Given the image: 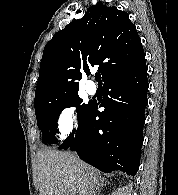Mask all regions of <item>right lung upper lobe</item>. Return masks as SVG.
<instances>
[{"instance_id":"1","label":"right lung upper lobe","mask_w":178,"mask_h":195,"mask_svg":"<svg viewBox=\"0 0 178 195\" xmlns=\"http://www.w3.org/2000/svg\"><path fill=\"white\" fill-rule=\"evenodd\" d=\"M144 60L141 40L128 14L98 2L46 44L34 106L78 93L79 81L91 67L97 65L106 81Z\"/></svg>"}]
</instances>
